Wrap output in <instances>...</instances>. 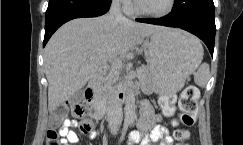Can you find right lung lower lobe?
<instances>
[{
  "mask_svg": "<svg viewBox=\"0 0 243 145\" xmlns=\"http://www.w3.org/2000/svg\"><path fill=\"white\" fill-rule=\"evenodd\" d=\"M112 0H49L45 15L43 46L65 22L79 17H96L105 14Z\"/></svg>",
  "mask_w": 243,
  "mask_h": 145,
  "instance_id": "98d812e1",
  "label": "right lung lower lobe"
}]
</instances>
